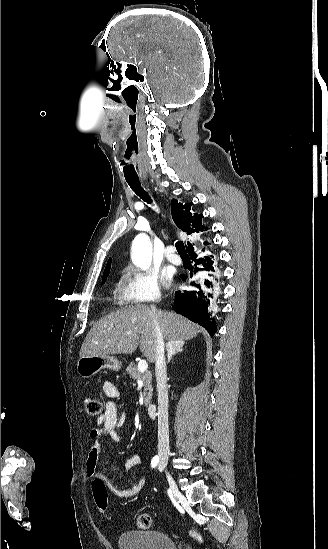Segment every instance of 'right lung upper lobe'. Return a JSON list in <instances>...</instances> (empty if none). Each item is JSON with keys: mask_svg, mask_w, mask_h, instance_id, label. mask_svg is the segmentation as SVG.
Returning a JSON list of instances; mask_svg holds the SVG:
<instances>
[{"mask_svg": "<svg viewBox=\"0 0 328 549\" xmlns=\"http://www.w3.org/2000/svg\"><path fill=\"white\" fill-rule=\"evenodd\" d=\"M193 205V203H186L183 205L182 203H179L176 199L171 200V213L172 218L175 222V224L184 232L187 233V235H190L194 232H204L207 231L208 228L206 226H203L201 221L203 218V215L200 214H194L190 212V207ZM204 244H208V242H204ZM187 251L190 255L194 254V248L191 243L188 242ZM111 267V259L108 260L107 265L105 267L104 273L108 272ZM104 275V274H103Z\"/></svg>", "mask_w": 328, "mask_h": 549, "instance_id": "obj_1", "label": "right lung upper lobe"}]
</instances>
